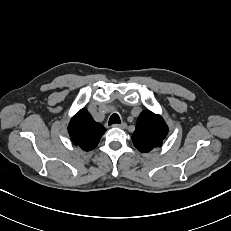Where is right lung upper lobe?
I'll list each match as a JSON object with an SVG mask.
<instances>
[{"mask_svg":"<svg viewBox=\"0 0 231 231\" xmlns=\"http://www.w3.org/2000/svg\"><path fill=\"white\" fill-rule=\"evenodd\" d=\"M105 131L106 129L95 122L85 109H81L68 125L72 142L85 151L94 149Z\"/></svg>","mask_w":231,"mask_h":231,"instance_id":"obj_1","label":"right lung upper lobe"}]
</instances>
